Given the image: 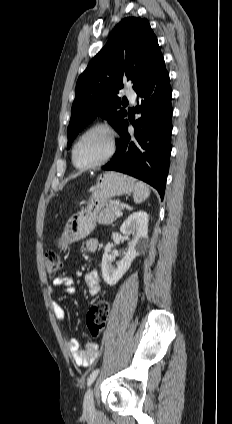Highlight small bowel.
I'll list each match as a JSON object with an SVG mask.
<instances>
[{"instance_id":"1","label":"small bowel","mask_w":232,"mask_h":424,"mask_svg":"<svg viewBox=\"0 0 232 424\" xmlns=\"http://www.w3.org/2000/svg\"><path fill=\"white\" fill-rule=\"evenodd\" d=\"M98 247L96 238H89L83 244L86 251H95ZM85 283L90 295H97L101 288L100 275L98 271H90L84 276ZM49 291L53 295H75L74 280L70 276H59L54 278ZM52 311L60 321H65L67 313L65 308L57 301H52ZM66 344L75 364L82 367L92 366L100 354L99 346L96 343H89L84 349L80 348L79 342L72 337H68Z\"/></svg>"}]
</instances>
